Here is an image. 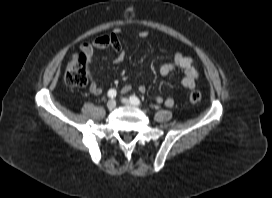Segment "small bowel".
I'll use <instances>...</instances> for the list:
<instances>
[{
  "label": "small bowel",
  "instance_id": "obj_1",
  "mask_svg": "<svg viewBox=\"0 0 272 198\" xmlns=\"http://www.w3.org/2000/svg\"><path fill=\"white\" fill-rule=\"evenodd\" d=\"M120 33L121 30L119 28H115L109 34L100 35L92 41L82 43L80 49L86 55L89 62L92 60L95 49H113L116 52L114 62L116 64H121L125 60V51L118 39ZM148 35L149 32L146 30H142L138 33L140 38H147ZM175 69H181L184 73L181 80L182 86L186 89H193L199 77V72L194 67L193 59L181 53H176L172 61L163 62L159 65V73L161 75H168ZM131 88V85H126L123 87L122 91L126 93L130 91ZM138 90L141 93H144L146 91V87L144 85H140ZM90 92L94 95H100L102 93V88L97 82L92 80L90 83ZM156 102L165 104L167 107H172L174 105V99L172 96H168L166 98L157 96Z\"/></svg>",
  "mask_w": 272,
  "mask_h": 198
}]
</instances>
